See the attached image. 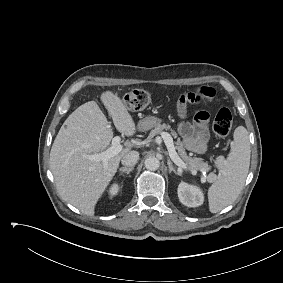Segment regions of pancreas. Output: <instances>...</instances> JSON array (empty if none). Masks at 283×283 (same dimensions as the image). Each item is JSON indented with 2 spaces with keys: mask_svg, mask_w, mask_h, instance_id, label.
Returning a JSON list of instances; mask_svg holds the SVG:
<instances>
[{
  "mask_svg": "<svg viewBox=\"0 0 283 283\" xmlns=\"http://www.w3.org/2000/svg\"><path fill=\"white\" fill-rule=\"evenodd\" d=\"M171 129L170 125L167 124H159L157 127H155L149 134V137H153L157 134L163 133L164 130ZM171 135L177 139L175 142L176 149L180 155V157L185 161L186 165H188V168L193 171H201L207 173L210 170V166L207 162H204L203 158H197L192 157L191 155H188L183 143L181 142L180 138L178 137L177 133L174 130H171ZM202 182H212L213 176L212 174L209 175H203L201 177Z\"/></svg>",
  "mask_w": 283,
  "mask_h": 283,
  "instance_id": "1",
  "label": "pancreas"
}]
</instances>
